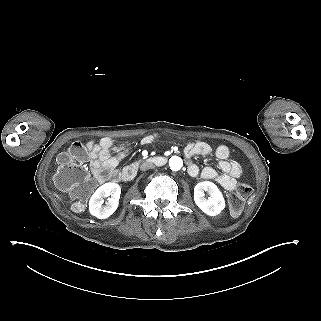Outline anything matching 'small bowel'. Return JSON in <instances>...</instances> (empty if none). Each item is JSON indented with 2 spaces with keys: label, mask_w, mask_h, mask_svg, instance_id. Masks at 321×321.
Masks as SVG:
<instances>
[{
  "label": "small bowel",
  "mask_w": 321,
  "mask_h": 321,
  "mask_svg": "<svg viewBox=\"0 0 321 321\" xmlns=\"http://www.w3.org/2000/svg\"><path fill=\"white\" fill-rule=\"evenodd\" d=\"M156 134H149L142 138L144 145L156 141ZM88 161L90 170L95 179L102 183L110 178L117 177L116 167L119 161L127 154V148L118 146L110 137H104L99 142L89 141L87 143ZM213 152L212 147L206 142L189 143L184 150L185 156L191 158L196 155H209ZM214 156L218 159V170L212 167H199L190 162L188 173L192 177L200 175L206 180H214L228 191L237 187V179L242 174V166L239 161L229 158V149L225 145H219L214 150Z\"/></svg>",
  "instance_id": "small-bowel-1"
}]
</instances>
